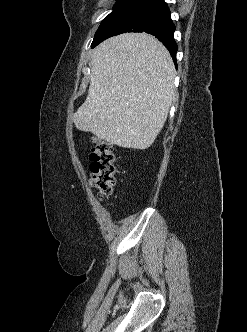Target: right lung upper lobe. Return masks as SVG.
<instances>
[{"mask_svg": "<svg viewBox=\"0 0 247 332\" xmlns=\"http://www.w3.org/2000/svg\"><path fill=\"white\" fill-rule=\"evenodd\" d=\"M146 2H150V1H152V0H145Z\"/></svg>", "mask_w": 247, "mask_h": 332, "instance_id": "1", "label": "right lung upper lobe"}]
</instances>
